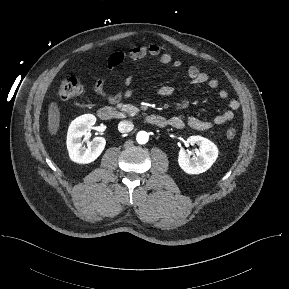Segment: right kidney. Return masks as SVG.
<instances>
[{
  "label": "right kidney",
  "instance_id": "obj_1",
  "mask_svg": "<svg viewBox=\"0 0 289 289\" xmlns=\"http://www.w3.org/2000/svg\"><path fill=\"white\" fill-rule=\"evenodd\" d=\"M96 122L92 114H84L73 120L68 128L67 149L70 159L79 164H88L96 160L103 152L106 140L103 137H95L88 142L87 147L83 146L82 137L87 135L89 129Z\"/></svg>",
  "mask_w": 289,
  "mask_h": 289
}]
</instances>
